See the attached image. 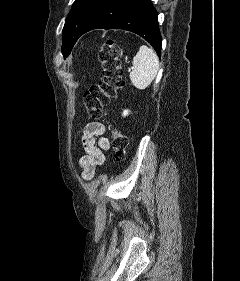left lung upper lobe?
<instances>
[{
    "mask_svg": "<svg viewBox=\"0 0 240 281\" xmlns=\"http://www.w3.org/2000/svg\"><path fill=\"white\" fill-rule=\"evenodd\" d=\"M101 2L102 0H75L73 3L63 28L62 53L65 58L78 40L84 24Z\"/></svg>",
    "mask_w": 240,
    "mask_h": 281,
    "instance_id": "obj_1",
    "label": "left lung upper lobe"
}]
</instances>
